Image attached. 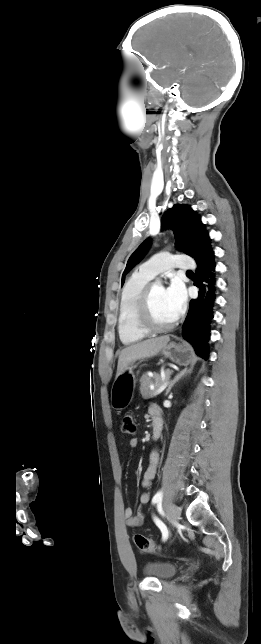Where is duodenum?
<instances>
[{"label": "duodenum", "mask_w": 261, "mask_h": 644, "mask_svg": "<svg viewBox=\"0 0 261 644\" xmlns=\"http://www.w3.org/2000/svg\"><path fill=\"white\" fill-rule=\"evenodd\" d=\"M153 431L152 438L157 440L161 437L163 431V420L160 414H154L152 417Z\"/></svg>", "instance_id": "duodenum-1"}]
</instances>
